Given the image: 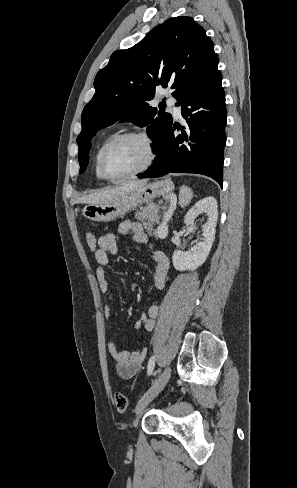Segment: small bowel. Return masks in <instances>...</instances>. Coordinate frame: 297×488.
<instances>
[{
  "label": "small bowel",
  "instance_id": "c3829d8e",
  "mask_svg": "<svg viewBox=\"0 0 297 488\" xmlns=\"http://www.w3.org/2000/svg\"><path fill=\"white\" fill-rule=\"evenodd\" d=\"M118 232L126 235L131 234L132 238L137 243H147L149 236L144 231L142 225L138 222L124 221L119 224ZM118 252V244L113 233H106L98 238V249L94 253V258L97 262L96 279L99 284L100 291L105 293L109 289V280L106 275V267L109 263V255H116ZM153 260L155 262V269L152 273L153 286L162 290L167 281V273L169 269V261L166 255L161 251L153 252ZM160 312V307L153 304L148 307L147 312L142 314L136 324L138 329H143L146 332H151L156 326V318ZM112 308L110 305L104 307V315L106 318L110 317ZM108 350L115 361L117 374L123 379H130L134 377L143 364L146 356V349H140L134 352L119 350L114 341L110 340L108 343Z\"/></svg>",
  "mask_w": 297,
  "mask_h": 488
}]
</instances>
